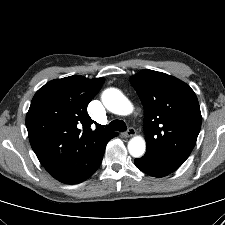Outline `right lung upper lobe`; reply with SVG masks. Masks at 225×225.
Masks as SVG:
<instances>
[{"mask_svg":"<svg viewBox=\"0 0 225 225\" xmlns=\"http://www.w3.org/2000/svg\"><path fill=\"white\" fill-rule=\"evenodd\" d=\"M104 81L73 75L46 83L34 95L26 127L32 149L52 177L91 164L98 149L115 135L104 132L87 113Z\"/></svg>","mask_w":225,"mask_h":225,"instance_id":"cb5924a9","label":"right lung upper lobe"}]
</instances>
